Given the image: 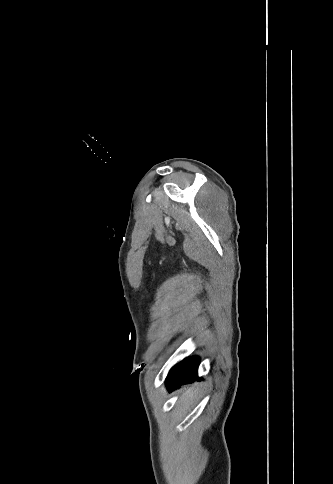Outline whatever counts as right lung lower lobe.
<instances>
[{
	"mask_svg": "<svg viewBox=\"0 0 333 484\" xmlns=\"http://www.w3.org/2000/svg\"><path fill=\"white\" fill-rule=\"evenodd\" d=\"M199 358L189 357L175 365L169 372L166 379V386L169 391L181 384L194 381L197 378Z\"/></svg>",
	"mask_w": 333,
	"mask_h": 484,
	"instance_id": "right-lung-lower-lobe-1",
	"label": "right lung lower lobe"
}]
</instances>
